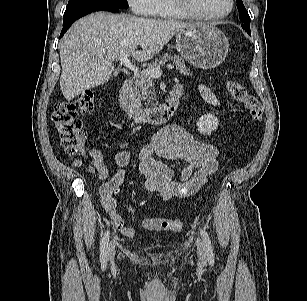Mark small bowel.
Listing matches in <instances>:
<instances>
[{
  "instance_id": "c3829d8e",
  "label": "small bowel",
  "mask_w": 307,
  "mask_h": 301,
  "mask_svg": "<svg viewBox=\"0 0 307 301\" xmlns=\"http://www.w3.org/2000/svg\"><path fill=\"white\" fill-rule=\"evenodd\" d=\"M176 87L183 89L180 84ZM199 90L208 105H217L216 97L207 86L199 85ZM218 154L215 145L198 140L177 124H170L156 132L151 142L141 149L138 169L145 178L147 191L168 201L196 193L207 176L218 170ZM130 159L128 150H119L114 156L116 170L110 177L102 155L93 153L94 167L104 181L100 188L101 205L113 226L124 236L132 238L134 228L128 226L116 210L119 188ZM160 159L176 162L178 167H170ZM145 203L146 200H142L140 206Z\"/></svg>"
}]
</instances>
